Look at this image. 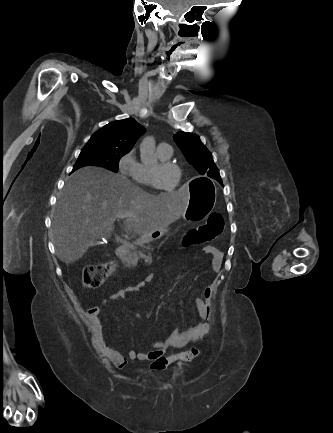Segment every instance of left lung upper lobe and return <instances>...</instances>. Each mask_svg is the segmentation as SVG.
Masks as SVG:
<instances>
[{
	"mask_svg": "<svg viewBox=\"0 0 333 433\" xmlns=\"http://www.w3.org/2000/svg\"><path fill=\"white\" fill-rule=\"evenodd\" d=\"M173 138L188 162L192 164L199 173L208 175L221 183V177L214 164L212 155L197 135L179 132L175 134Z\"/></svg>",
	"mask_w": 333,
	"mask_h": 433,
	"instance_id": "5c2ea615",
	"label": "left lung upper lobe"
}]
</instances>
